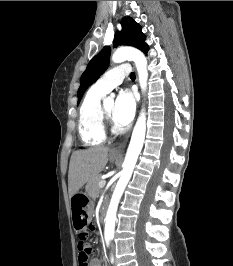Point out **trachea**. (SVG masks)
<instances>
[{"label":"trachea","instance_id":"3493384b","mask_svg":"<svg viewBox=\"0 0 233 266\" xmlns=\"http://www.w3.org/2000/svg\"><path fill=\"white\" fill-rule=\"evenodd\" d=\"M130 78H131V79H135V73L132 72V73L130 74Z\"/></svg>","mask_w":233,"mask_h":266}]
</instances>
